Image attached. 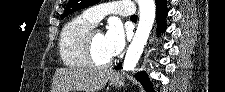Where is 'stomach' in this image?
I'll return each mask as SVG.
<instances>
[{
    "instance_id": "stomach-1",
    "label": "stomach",
    "mask_w": 225,
    "mask_h": 92,
    "mask_svg": "<svg viewBox=\"0 0 225 92\" xmlns=\"http://www.w3.org/2000/svg\"><path fill=\"white\" fill-rule=\"evenodd\" d=\"M110 84L115 86L123 85V78L119 74L111 73L109 76Z\"/></svg>"
}]
</instances>
